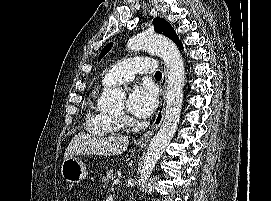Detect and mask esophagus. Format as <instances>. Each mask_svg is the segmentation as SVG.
<instances>
[{
    "label": "esophagus",
    "instance_id": "esophagus-1",
    "mask_svg": "<svg viewBox=\"0 0 271 201\" xmlns=\"http://www.w3.org/2000/svg\"><path fill=\"white\" fill-rule=\"evenodd\" d=\"M162 68H163V75H162V80H161L162 94H161L158 111L153 121V124L151 126V129L147 131L143 136H141L138 140V144L142 146L146 145L149 142L154 132L160 127L164 118L165 103H166L165 89H166V83H167V75H166V69H165L164 63L162 65Z\"/></svg>",
    "mask_w": 271,
    "mask_h": 201
}]
</instances>
